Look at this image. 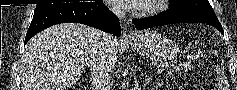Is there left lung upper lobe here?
<instances>
[{
	"mask_svg": "<svg viewBox=\"0 0 237 90\" xmlns=\"http://www.w3.org/2000/svg\"><path fill=\"white\" fill-rule=\"evenodd\" d=\"M170 3L172 4L170 10H184L216 16L208 0H170Z\"/></svg>",
	"mask_w": 237,
	"mask_h": 90,
	"instance_id": "5c2ea615",
	"label": "left lung upper lobe"
}]
</instances>
